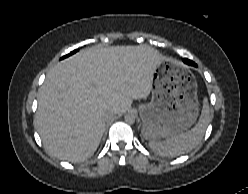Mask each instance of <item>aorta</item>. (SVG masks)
Wrapping results in <instances>:
<instances>
[{
	"instance_id": "1",
	"label": "aorta",
	"mask_w": 248,
	"mask_h": 194,
	"mask_svg": "<svg viewBox=\"0 0 248 194\" xmlns=\"http://www.w3.org/2000/svg\"><path fill=\"white\" fill-rule=\"evenodd\" d=\"M135 115L134 114H127L125 115V121L129 124H133L135 122Z\"/></svg>"
}]
</instances>
